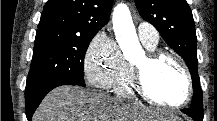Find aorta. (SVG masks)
Wrapping results in <instances>:
<instances>
[{"instance_id":"1","label":"aorta","mask_w":217,"mask_h":121,"mask_svg":"<svg viewBox=\"0 0 217 121\" xmlns=\"http://www.w3.org/2000/svg\"><path fill=\"white\" fill-rule=\"evenodd\" d=\"M113 29L116 40L123 51L125 59L132 60L140 55L142 48L139 43L131 13L126 4H118L113 11Z\"/></svg>"}]
</instances>
